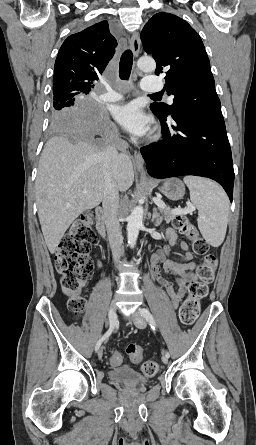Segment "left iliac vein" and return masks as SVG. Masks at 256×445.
I'll use <instances>...</instances> for the list:
<instances>
[{
  "label": "left iliac vein",
  "mask_w": 256,
  "mask_h": 445,
  "mask_svg": "<svg viewBox=\"0 0 256 445\" xmlns=\"http://www.w3.org/2000/svg\"><path fill=\"white\" fill-rule=\"evenodd\" d=\"M132 320L133 323L135 324V326L139 329H144L146 327V321L144 319V317L141 314V309L138 310V312H136L133 316H132ZM162 361L163 363L167 364L168 363V357L163 354L162 355Z\"/></svg>",
  "instance_id": "obj_1"
}]
</instances>
